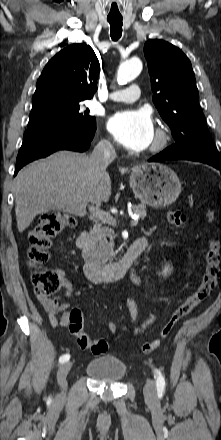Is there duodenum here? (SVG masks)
<instances>
[{"label": "duodenum", "instance_id": "duodenum-1", "mask_svg": "<svg viewBox=\"0 0 221 440\" xmlns=\"http://www.w3.org/2000/svg\"><path fill=\"white\" fill-rule=\"evenodd\" d=\"M89 239V232L84 229L77 237V245L83 247ZM147 241L144 238L135 240L124 255L109 264L102 265L97 261H88L84 265V274L92 282H112L121 279L137 263L138 258L145 250Z\"/></svg>", "mask_w": 221, "mask_h": 440}]
</instances>
